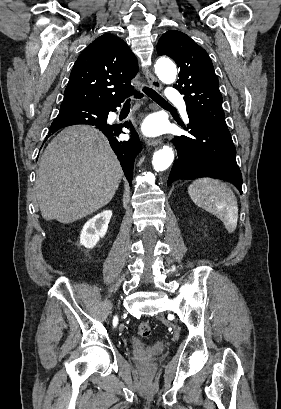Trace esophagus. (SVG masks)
<instances>
[{
	"instance_id": "esophagus-1",
	"label": "esophagus",
	"mask_w": 281,
	"mask_h": 409,
	"mask_svg": "<svg viewBox=\"0 0 281 409\" xmlns=\"http://www.w3.org/2000/svg\"><path fill=\"white\" fill-rule=\"evenodd\" d=\"M143 71L149 85H151V87H154L156 90H162L161 82H159V80L156 77H154V75H152V73L147 68H143ZM161 142H162L161 139H154L148 140L147 143L148 145H158Z\"/></svg>"
}]
</instances>
